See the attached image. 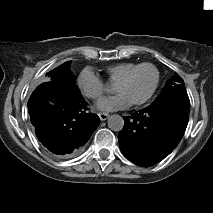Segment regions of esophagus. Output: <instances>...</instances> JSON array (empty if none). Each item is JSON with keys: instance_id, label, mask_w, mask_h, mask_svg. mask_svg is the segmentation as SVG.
Wrapping results in <instances>:
<instances>
[{"instance_id": "obj_1", "label": "esophagus", "mask_w": 213, "mask_h": 213, "mask_svg": "<svg viewBox=\"0 0 213 213\" xmlns=\"http://www.w3.org/2000/svg\"><path fill=\"white\" fill-rule=\"evenodd\" d=\"M98 115L102 121H105L109 117L108 113H99Z\"/></svg>"}]
</instances>
